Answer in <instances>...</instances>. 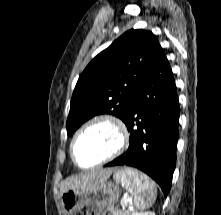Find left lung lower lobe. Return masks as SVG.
Listing matches in <instances>:
<instances>
[{
    "label": "left lung lower lobe",
    "mask_w": 221,
    "mask_h": 215,
    "mask_svg": "<svg viewBox=\"0 0 221 215\" xmlns=\"http://www.w3.org/2000/svg\"><path fill=\"white\" fill-rule=\"evenodd\" d=\"M180 109L175 81L163 49L127 105L125 119L130 145L125 155L106 166L135 167L161 187L171 189L176 165Z\"/></svg>",
    "instance_id": "0a47b994"
}]
</instances>
